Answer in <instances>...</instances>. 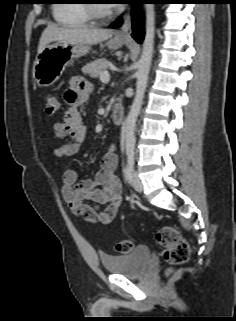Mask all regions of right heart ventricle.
<instances>
[{
    "label": "right heart ventricle",
    "instance_id": "e07e8e85",
    "mask_svg": "<svg viewBox=\"0 0 236 321\" xmlns=\"http://www.w3.org/2000/svg\"><path fill=\"white\" fill-rule=\"evenodd\" d=\"M85 2V0H61L53 8L55 21L64 26L87 25L90 18Z\"/></svg>",
    "mask_w": 236,
    "mask_h": 321
}]
</instances>
